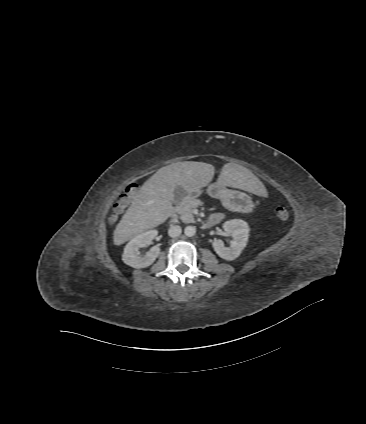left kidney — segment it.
I'll return each mask as SVG.
<instances>
[{
	"instance_id": "5707ae66",
	"label": "left kidney",
	"mask_w": 366,
	"mask_h": 424,
	"mask_svg": "<svg viewBox=\"0 0 366 424\" xmlns=\"http://www.w3.org/2000/svg\"><path fill=\"white\" fill-rule=\"evenodd\" d=\"M226 233L233 237L229 247L224 246L221 239H214L212 246L219 257L227 261H232L239 257L242 250L246 247L249 237L248 224L240 219L226 221L223 224Z\"/></svg>"
}]
</instances>
